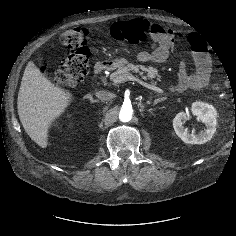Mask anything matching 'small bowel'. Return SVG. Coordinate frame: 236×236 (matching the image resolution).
Wrapping results in <instances>:
<instances>
[{
	"instance_id": "small-bowel-1",
	"label": "small bowel",
	"mask_w": 236,
	"mask_h": 236,
	"mask_svg": "<svg viewBox=\"0 0 236 236\" xmlns=\"http://www.w3.org/2000/svg\"><path fill=\"white\" fill-rule=\"evenodd\" d=\"M152 44L150 49L141 51L138 59L141 62H164L177 43L184 42L191 46L193 51V68L189 71L184 61L179 64L178 81L174 86L176 90L200 89L210 80L211 63L204 51L202 38L187 34L175 28H164L159 24H151L150 30Z\"/></svg>"
}]
</instances>
